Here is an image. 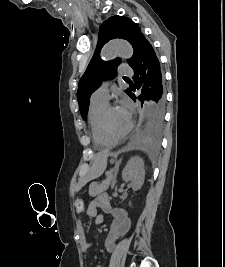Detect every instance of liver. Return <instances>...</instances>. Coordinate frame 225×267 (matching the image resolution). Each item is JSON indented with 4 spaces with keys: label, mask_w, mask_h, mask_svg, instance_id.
I'll use <instances>...</instances> for the list:
<instances>
[{
    "label": "liver",
    "mask_w": 225,
    "mask_h": 267,
    "mask_svg": "<svg viewBox=\"0 0 225 267\" xmlns=\"http://www.w3.org/2000/svg\"><path fill=\"white\" fill-rule=\"evenodd\" d=\"M105 156H107V155L106 154H99L96 157V159H95V164H98L101 160H103V158ZM105 167H106V165H104V167L102 168V170L96 171V166H93L92 171H91L89 177L94 178V177L100 176L103 173V171L105 170Z\"/></svg>",
    "instance_id": "1"
}]
</instances>
